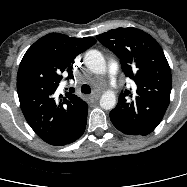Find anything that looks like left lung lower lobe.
Masks as SVG:
<instances>
[{"label":"left lung lower lobe","instance_id":"0a47b994","mask_svg":"<svg viewBox=\"0 0 187 187\" xmlns=\"http://www.w3.org/2000/svg\"><path fill=\"white\" fill-rule=\"evenodd\" d=\"M110 120L113 123V125L121 132H123L124 134H129V135H142L139 134L138 132L128 128L127 126H125L123 123H121L120 121H118L114 116L110 115Z\"/></svg>","mask_w":187,"mask_h":187}]
</instances>
